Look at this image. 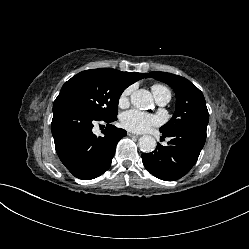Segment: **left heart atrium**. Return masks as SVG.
I'll use <instances>...</instances> for the list:
<instances>
[{
    "label": "left heart atrium",
    "instance_id": "obj_1",
    "mask_svg": "<svg viewBox=\"0 0 249 249\" xmlns=\"http://www.w3.org/2000/svg\"><path fill=\"white\" fill-rule=\"evenodd\" d=\"M159 122L156 116L136 109L123 113L121 117L122 126L133 132H146L151 127L158 125Z\"/></svg>",
    "mask_w": 249,
    "mask_h": 249
}]
</instances>
